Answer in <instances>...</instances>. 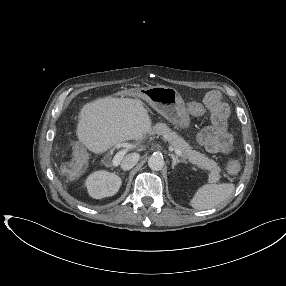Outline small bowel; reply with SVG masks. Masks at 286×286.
I'll return each mask as SVG.
<instances>
[{"label": "small bowel", "instance_id": "c3829d8e", "mask_svg": "<svg viewBox=\"0 0 286 286\" xmlns=\"http://www.w3.org/2000/svg\"><path fill=\"white\" fill-rule=\"evenodd\" d=\"M215 99L214 107L210 106L212 123L197 133L198 143L211 154H227L231 150L233 138L227 131V109L220 101V96L211 94ZM188 112L193 116H201L205 109L201 103L190 102Z\"/></svg>", "mask_w": 286, "mask_h": 286}]
</instances>
